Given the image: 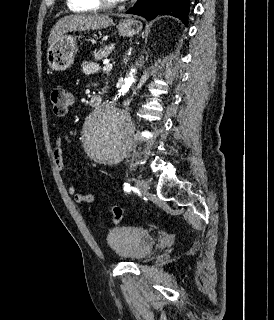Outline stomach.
<instances>
[{"mask_svg":"<svg viewBox=\"0 0 274 320\" xmlns=\"http://www.w3.org/2000/svg\"><path fill=\"white\" fill-rule=\"evenodd\" d=\"M141 30V22H137V20H133V18H123L118 26L120 36H126V38L136 36ZM76 48V38L67 36V34L60 36V40H57L56 44H52V46L48 48L47 62L51 70L63 72V70L70 68L74 62Z\"/></svg>","mask_w":274,"mask_h":320,"instance_id":"0dacf381","label":"stomach"}]
</instances>
